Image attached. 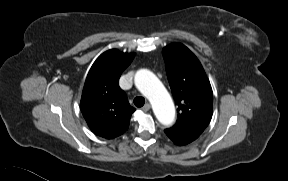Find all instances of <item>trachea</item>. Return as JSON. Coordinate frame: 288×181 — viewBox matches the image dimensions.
<instances>
[{"label":"trachea","mask_w":288,"mask_h":181,"mask_svg":"<svg viewBox=\"0 0 288 181\" xmlns=\"http://www.w3.org/2000/svg\"><path fill=\"white\" fill-rule=\"evenodd\" d=\"M134 104L137 107H142L145 104V99L141 96H137L134 99Z\"/></svg>","instance_id":"obj_1"}]
</instances>
